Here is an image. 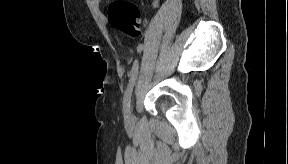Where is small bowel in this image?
Listing matches in <instances>:
<instances>
[{
  "label": "small bowel",
  "mask_w": 288,
  "mask_h": 164,
  "mask_svg": "<svg viewBox=\"0 0 288 164\" xmlns=\"http://www.w3.org/2000/svg\"><path fill=\"white\" fill-rule=\"evenodd\" d=\"M154 7H157V3H154Z\"/></svg>",
  "instance_id": "1"
}]
</instances>
